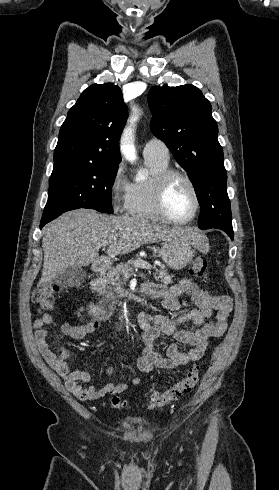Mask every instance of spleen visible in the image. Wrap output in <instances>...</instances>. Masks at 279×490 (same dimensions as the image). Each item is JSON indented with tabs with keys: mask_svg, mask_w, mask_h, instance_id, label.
<instances>
[{
	"mask_svg": "<svg viewBox=\"0 0 279 490\" xmlns=\"http://www.w3.org/2000/svg\"><path fill=\"white\" fill-rule=\"evenodd\" d=\"M204 242H206V238H202V246H203L202 250L203 252H208L209 248L207 244H204Z\"/></svg>",
	"mask_w": 279,
	"mask_h": 490,
	"instance_id": "obj_1",
	"label": "spleen"
}]
</instances>
